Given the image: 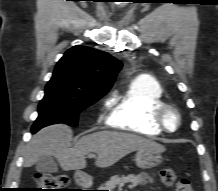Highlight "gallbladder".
Returning <instances> with one entry per match:
<instances>
[{"mask_svg": "<svg viewBox=\"0 0 218 191\" xmlns=\"http://www.w3.org/2000/svg\"><path fill=\"white\" fill-rule=\"evenodd\" d=\"M35 168L40 173H54L58 171L55 159L49 155L40 157L35 163Z\"/></svg>", "mask_w": 218, "mask_h": 191, "instance_id": "bac80fb5", "label": "gallbladder"}]
</instances>
